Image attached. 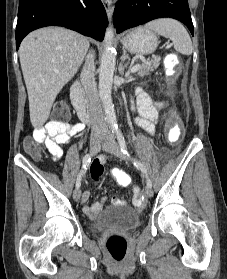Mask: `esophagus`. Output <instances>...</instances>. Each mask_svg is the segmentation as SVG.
Returning a JSON list of instances; mask_svg holds the SVG:
<instances>
[{
    "label": "esophagus",
    "mask_w": 227,
    "mask_h": 279,
    "mask_svg": "<svg viewBox=\"0 0 227 279\" xmlns=\"http://www.w3.org/2000/svg\"><path fill=\"white\" fill-rule=\"evenodd\" d=\"M102 2L105 7L109 20H112L113 11H114V6L112 4V0H102Z\"/></svg>",
    "instance_id": "34e87169"
}]
</instances>
